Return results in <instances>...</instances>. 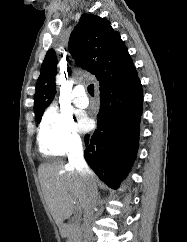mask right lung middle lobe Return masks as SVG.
Segmentation results:
<instances>
[{"label":"right lung middle lobe","mask_w":187,"mask_h":242,"mask_svg":"<svg viewBox=\"0 0 187 242\" xmlns=\"http://www.w3.org/2000/svg\"><path fill=\"white\" fill-rule=\"evenodd\" d=\"M41 116H42V114L41 115H39V116H36V119H37V122L39 123L40 122V120H41Z\"/></svg>","instance_id":"1"}]
</instances>
